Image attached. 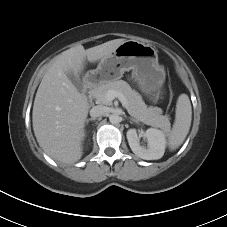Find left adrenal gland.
<instances>
[{"label": "left adrenal gland", "mask_w": 227, "mask_h": 227, "mask_svg": "<svg viewBox=\"0 0 227 227\" xmlns=\"http://www.w3.org/2000/svg\"><path fill=\"white\" fill-rule=\"evenodd\" d=\"M129 119H130L131 121H133V122H137V121H136L135 119H133V118H130V117H129Z\"/></svg>", "instance_id": "1"}]
</instances>
